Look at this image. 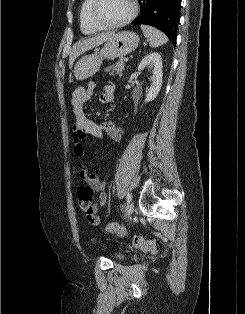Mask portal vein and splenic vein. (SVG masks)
Returning a JSON list of instances; mask_svg holds the SVG:
<instances>
[{"mask_svg":"<svg viewBox=\"0 0 245 314\" xmlns=\"http://www.w3.org/2000/svg\"><path fill=\"white\" fill-rule=\"evenodd\" d=\"M124 61H125V62H128V61H129V59H128V58H125V59H124Z\"/></svg>","mask_w":245,"mask_h":314,"instance_id":"portal-vein-and-splenic-vein-1","label":"portal vein and splenic vein"}]
</instances>
